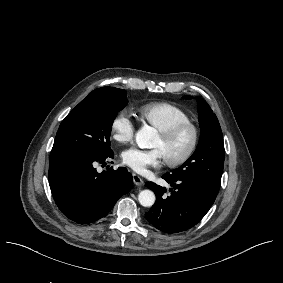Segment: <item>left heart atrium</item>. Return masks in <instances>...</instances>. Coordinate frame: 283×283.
I'll use <instances>...</instances> for the list:
<instances>
[{
	"label": "left heart atrium",
	"instance_id": "left-heart-atrium-1",
	"mask_svg": "<svg viewBox=\"0 0 283 283\" xmlns=\"http://www.w3.org/2000/svg\"><path fill=\"white\" fill-rule=\"evenodd\" d=\"M123 161L137 172H143L148 167L159 166L163 158L161 151L157 148L152 150H142L138 148H128L122 154Z\"/></svg>",
	"mask_w": 283,
	"mask_h": 283
}]
</instances>
